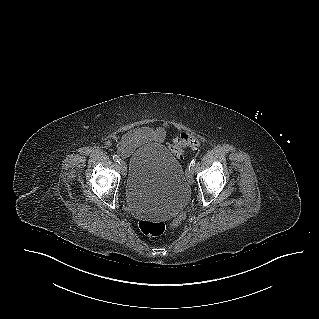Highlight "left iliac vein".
Wrapping results in <instances>:
<instances>
[{
    "label": "left iliac vein",
    "instance_id": "4c4485c4",
    "mask_svg": "<svg viewBox=\"0 0 319 319\" xmlns=\"http://www.w3.org/2000/svg\"><path fill=\"white\" fill-rule=\"evenodd\" d=\"M186 175H187L188 182L190 184H193V182H194L193 169H191V168L189 169V167H188V169L186 171Z\"/></svg>",
    "mask_w": 319,
    "mask_h": 319
}]
</instances>
